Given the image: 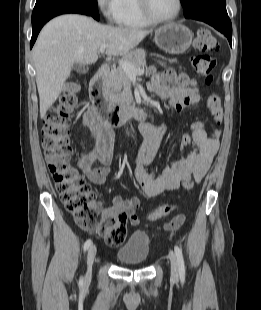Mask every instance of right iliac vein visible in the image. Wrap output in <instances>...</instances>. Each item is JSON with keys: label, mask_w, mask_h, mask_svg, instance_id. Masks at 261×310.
I'll use <instances>...</instances> for the list:
<instances>
[{"label": "right iliac vein", "mask_w": 261, "mask_h": 310, "mask_svg": "<svg viewBox=\"0 0 261 310\" xmlns=\"http://www.w3.org/2000/svg\"><path fill=\"white\" fill-rule=\"evenodd\" d=\"M97 247L96 245L90 246L87 254V271L85 275V281L88 282L91 278L92 265L96 256Z\"/></svg>", "instance_id": "1"}]
</instances>
